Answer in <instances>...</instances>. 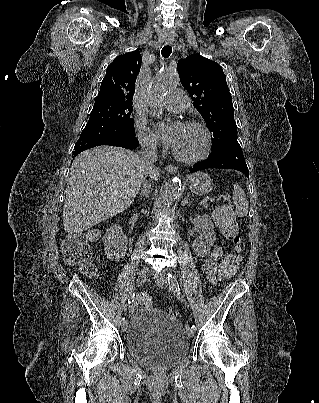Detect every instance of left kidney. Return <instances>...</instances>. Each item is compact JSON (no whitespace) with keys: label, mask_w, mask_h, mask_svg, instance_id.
I'll use <instances>...</instances> for the list:
<instances>
[{"label":"left kidney","mask_w":319,"mask_h":403,"mask_svg":"<svg viewBox=\"0 0 319 403\" xmlns=\"http://www.w3.org/2000/svg\"><path fill=\"white\" fill-rule=\"evenodd\" d=\"M194 222L201 230L199 235H196L193 243L194 252L197 256L204 257L210 252L211 246L216 240L214 225L208 215H197L194 218Z\"/></svg>","instance_id":"left-kidney-1"}]
</instances>
